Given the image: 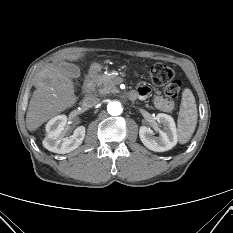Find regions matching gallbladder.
Listing matches in <instances>:
<instances>
[{"label": "gallbladder", "mask_w": 233, "mask_h": 233, "mask_svg": "<svg viewBox=\"0 0 233 233\" xmlns=\"http://www.w3.org/2000/svg\"><path fill=\"white\" fill-rule=\"evenodd\" d=\"M61 67L72 78H77L81 74L80 68L75 64L65 62L61 64Z\"/></svg>", "instance_id": "gallbladder-1"}]
</instances>
